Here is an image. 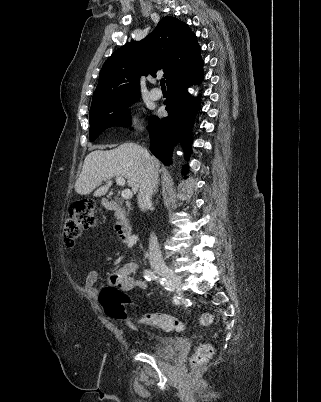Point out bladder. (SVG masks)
Wrapping results in <instances>:
<instances>
[{"label":"bladder","mask_w":321,"mask_h":402,"mask_svg":"<svg viewBox=\"0 0 321 402\" xmlns=\"http://www.w3.org/2000/svg\"><path fill=\"white\" fill-rule=\"evenodd\" d=\"M176 353V345L169 338H163L155 348V354L162 358H171Z\"/></svg>","instance_id":"obj_1"}]
</instances>
